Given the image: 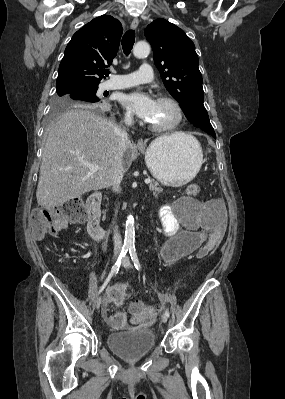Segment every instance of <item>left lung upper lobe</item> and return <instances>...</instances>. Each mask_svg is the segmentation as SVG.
<instances>
[{
  "label": "left lung upper lobe",
  "instance_id": "5c2ea615",
  "mask_svg": "<svg viewBox=\"0 0 285 399\" xmlns=\"http://www.w3.org/2000/svg\"><path fill=\"white\" fill-rule=\"evenodd\" d=\"M145 36L152 46L154 63L166 89L195 127L214 135L203 104V80L194 43L182 29L165 19L149 24Z\"/></svg>",
  "mask_w": 285,
  "mask_h": 399
}]
</instances>
